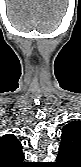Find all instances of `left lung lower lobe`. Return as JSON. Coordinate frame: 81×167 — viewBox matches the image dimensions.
Returning a JSON list of instances; mask_svg holds the SVG:
<instances>
[{
  "mask_svg": "<svg viewBox=\"0 0 81 167\" xmlns=\"http://www.w3.org/2000/svg\"><path fill=\"white\" fill-rule=\"evenodd\" d=\"M56 167H77V165L70 162L65 153L59 151L57 155Z\"/></svg>",
  "mask_w": 81,
  "mask_h": 167,
  "instance_id": "1",
  "label": "left lung lower lobe"
}]
</instances>
